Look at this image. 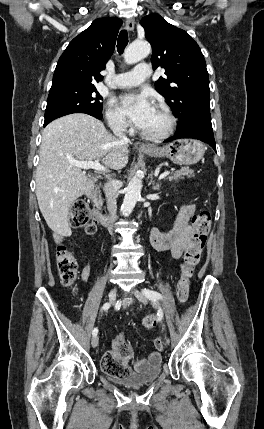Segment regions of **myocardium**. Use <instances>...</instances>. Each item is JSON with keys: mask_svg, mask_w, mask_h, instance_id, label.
Instances as JSON below:
<instances>
[{"mask_svg": "<svg viewBox=\"0 0 264 429\" xmlns=\"http://www.w3.org/2000/svg\"><path fill=\"white\" fill-rule=\"evenodd\" d=\"M155 108L161 111L163 115L166 117L167 126L161 133H158V134H148L143 132L140 129L139 130L140 136L149 141H160L168 138L173 133L176 125V118L168 106H166L165 104L159 103V104H156Z\"/></svg>", "mask_w": 264, "mask_h": 429, "instance_id": "obj_1", "label": "myocardium"}]
</instances>
